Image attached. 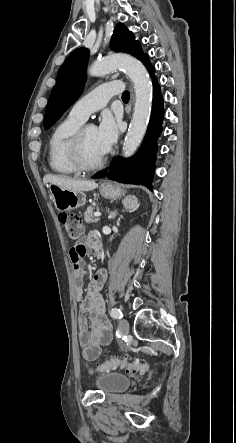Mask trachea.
Segmentation results:
<instances>
[{"instance_id":"trachea-1","label":"trachea","mask_w":236,"mask_h":443,"mask_svg":"<svg viewBox=\"0 0 236 443\" xmlns=\"http://www.w3.org/2000/svg\"><path fill=\"white\" fill-rule=\"evenodd\" d=\"M129 98H130V94H129V92H128V91H124L123 94H122V100H123L124 102H128V101H129Z\"/></svg>"}]
</instances>
